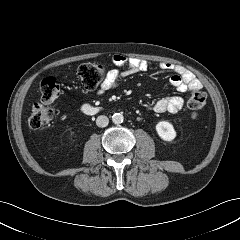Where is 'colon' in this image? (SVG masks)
I'll return each mask as SVG.
<instances>
[{
  "label": "colon",
  "mask_w": 240,
  "mask_h": 240,
  "mask_svg": "<svg viewBox=\"0 0 240 240\" xmlns=\"http://www.w3.org/2000/svg\"><path fill=\"white\" fill-rule=\"evenodd\" d=\"M79 85L85 91H92L98 87L105 77L103 66L94 63H84L77 71ZM60 85L56 78L45 77L40 85L41 103L33 106L29 118L30 126L33 129H40L48 126L54 119V111L47 104L58 98ZM206 103V93L201 89L193 90L188 99V108L193 118H198Z\"/></svg>",
  "instance_id": "5ec220e1"
}]
</instances>
